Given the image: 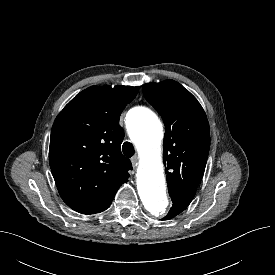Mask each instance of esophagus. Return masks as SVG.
Wrapping results in <instances>:
<instances>
[{"label":"esophagus","mask_w":275,"mask_h":275,"mask_svg":"<svg viewBox=\"0 0 275 275\" xmlns=\"http://www.w3.org/2000/svg\"><path fill=\"white\" fill-rule=\"evenodd\" d=\"M131 162H132L133 167H136L138 165V156H136V155L133 156L131 158Z\"/></svg>","instance_id":"esophagus-1"}]
</instances>
